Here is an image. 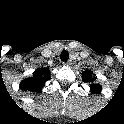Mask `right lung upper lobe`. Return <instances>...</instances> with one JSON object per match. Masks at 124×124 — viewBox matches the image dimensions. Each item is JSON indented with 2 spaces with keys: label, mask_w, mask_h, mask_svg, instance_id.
Wrapping results in <instances>:
<instances>
[{
  "label": "right lung upper lobe",
  "mask_w": 124,
  "mask_h": 124,
  "mask_svg": "<svg viewBox=\"0 0 124 124\" xmlns=\"http://www.w3.org/2000/svg\"><path fill=\"white\" fill-rule=\"evenodd\" d=\"M50 80V70L46 68L36 69L33 76L21 81L20 89L32 93L41 92L45 82Z\"/></svg>",
  "instance_id": "cb5924a9"
}]
</instances>
